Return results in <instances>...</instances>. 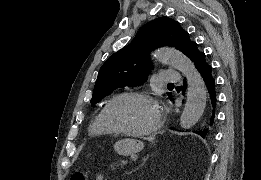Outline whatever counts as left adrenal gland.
Masks as SVG:
<instances>
[{
    "label": "left adrenal gland",
    "instance_id": "obj_1",
    "mask_svg": "<svg viewBox=\"0 0 261 180\" xmlns=\"http://www.w3.org/2000/svg\"><path fill=\"white\" fill-rule=\"evenodd\" d=\"M148 158H149V156H146V158H143L141 166H143V164H145V162H146V160H148Z\"/></svg>",
    "mask_w": 261,
    "mask_h": 180
}]
</instances>
